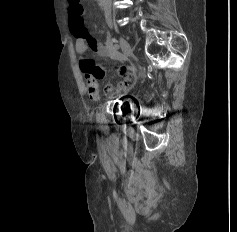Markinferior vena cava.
<instances>
[{
	"label": "inferior vena cava",
	"instance_id": "inferior-vena-cava-1",
	"mask_svg": "<svg viewBox=\"0 0 237 232\" xmlns=\"http://www.w3.org/2000/svg\"><path fill=\"white\" fill-rule=\"evenodd\" d=\"M104 9V15L107 21L111 19V0H99Z\"/></svg>",
	"mask_w": 237,
	"mask_h": 232
}]
</instances>
